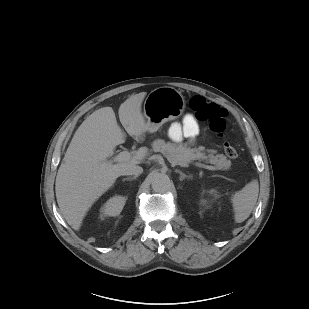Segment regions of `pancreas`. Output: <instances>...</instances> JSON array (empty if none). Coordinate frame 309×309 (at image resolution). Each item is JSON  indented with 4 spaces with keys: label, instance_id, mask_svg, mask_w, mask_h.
<instances>
[{
    "label": "pancreas",
    "instance_id": "pancreas-1",
    "mask_svg": "<svg viewBox=\"0 0 309 309\" xmlns=\"http://www.w3.org/2000/svg\"><path fill=\"white\" fill-rule=\"evenodd\" d=\"M152 148L153 151L161 152L169 161L179 165H185L194 159H205L207 162L216 165L217 169L228 170L231 166V162L223 154L213 155V153H210L205 156V153L201 152L202 149H190L171 142L166 143L162 139L155 140L152 143Z\"/></svg>",
    "mask_w": 309,
    "mask_h": 309
}]
</instances>
